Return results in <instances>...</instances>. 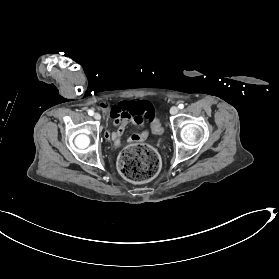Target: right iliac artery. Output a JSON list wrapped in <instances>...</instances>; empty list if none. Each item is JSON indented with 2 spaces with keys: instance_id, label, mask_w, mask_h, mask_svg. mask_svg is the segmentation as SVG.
I'll return each instance as SVG.
<instances>
[{
  "instance_id": "right-iliac-artery-1",
  "label": "right iliac artery",
  "mask_w": 279,
  "mask_h": 279,
  "mask_svg": "<svg viewBox=\"0 0 279 279\" xmlns=\"http://www.w3.org/2000/svg\"><path fill=\"white\" fill-rule=\"evenodd\" d=\"M88 114H89L90 116H92V115L94 114V112H93L92 110H89V111H88Z\"/></svg>"
}]
</instances>
